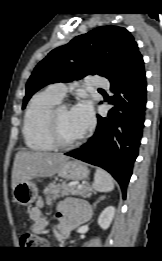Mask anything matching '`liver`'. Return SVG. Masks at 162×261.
<instances>
[{"mask_svg": "<svg viewBox=\"0 0 162 261\" xmlns=\"http://www.w3.org/2000/svg\"><path fill=\"white\" fill-rule=\"evenodd\" d=\"M67 160L60 153L19 151L13 163L12 189L20 182L53 176Z\"/></svg>", "mask_w": 162, "mask_h": 261, "instance_id": "obj_1", "label": "liver"}]
</instances>
